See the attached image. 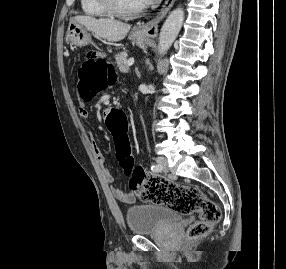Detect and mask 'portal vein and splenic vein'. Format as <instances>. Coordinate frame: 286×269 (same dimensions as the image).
<instances>
[{
    "label": "portal vein and splenic vein",
    "instance_id": "portal-vein-and-splenic-vein-1",
    "mask_svg": "<svg viewBox=\"0 0 286 269\" xmlns=\"http://www.w3.org/2000/svg\"><path fill=\"white\" fill-rule=\"evenodd\" d=\"M134 64V59H129L128 60V66H132Z\"/></svg>",
    "mask_w": 286,
    "mask_h": 269
}]
</instances>
